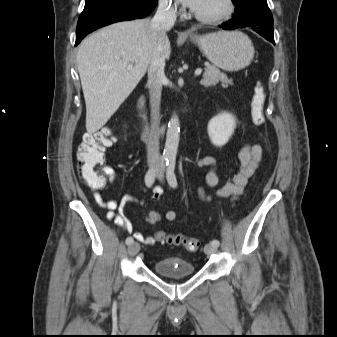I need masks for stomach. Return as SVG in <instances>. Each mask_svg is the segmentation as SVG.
<instances>
[{
    "label": "stomach",
    "mask_w": 337,
    "mask_h": 337,
    "mask_svg": "<svg viewBox=\"0 0 337 337\" xmlns=\"http://www.w3.org/2000/svg\"><path fill=\"white\" fill-rule=\"evenodd\" d=\"M191 39L215 66L229 72L250 65L254 57L251 40L240 31H220Z\"/></svg>",
    "instance_id": "0dacf381"
}]
</instances>
